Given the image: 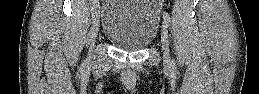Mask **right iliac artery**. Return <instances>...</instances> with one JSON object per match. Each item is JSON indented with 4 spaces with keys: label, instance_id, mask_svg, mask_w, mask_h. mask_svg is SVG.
Instances as JSON below:
<instances>
[{
    "label": "right iliac artery",
    "instance_id": "82829eb1",
    "mask_svg": "<svg viewBox=\"0 0 259 94\" xmlns=\"http://www.w3.org/2000/svg\"><path fill=\"white\" fill-rule=\"evenodd\" d=\"M92 10H94V6H92Z\"/></svg>",
    "mask_w": 259,
    "mask_h": 94
}]
</instances>
